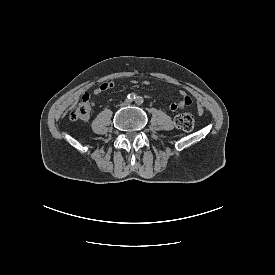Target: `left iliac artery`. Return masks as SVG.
I'll use <instances>...</instances> for the list:
<instances>
[{
  "instance_id": "obj_1",
  "label": "left iliac artery",
  "mask_w": 275,
  "mask_h": 275,
  "mask_svg": "<svg viewBox=\"0 0 275 275\" xmlns=\"http://www.w3.org/2000/svg\"><path fill=\"white\" fill-rule=\"evenodd\" d=\"M136 101H137L138 103H142V102H143V99H142V97H137Z\"/></svg>"
}]
</instances>
